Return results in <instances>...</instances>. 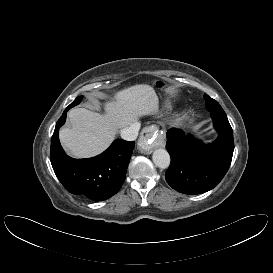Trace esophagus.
<instances>
[{"instance_id": "1", "label": "esophagus", "mask_w": 273, "mask_h": 273, "mask_svg": "<svg viewBox=\"0 0 273 273\" xmlns=\"http://www.w3.org/2000/svg\"><path fill=\"white\" fill-rule=\"evenodd\" d=\"M158 127L157 126H149L145 127L139 138V148L143 153H149L153 148L163 147L164 146V138L162 136H158ZM149 142L151 144L149 145Z\"/></svg>"}]
</instances>
